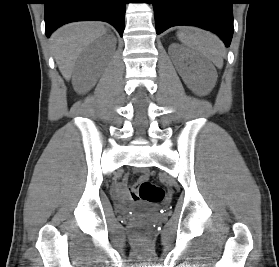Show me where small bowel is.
<instances>
[{
	"instance_id": "c3829d8e",
	"label": "small bowel",
	"mask_w": 279,
	"mask_h": 267,
	"mask_svg": "<svg viewBox=\"0 0 279 267\" xmlns=\"http://www.w3.org/2000/svg\"><path fill=\"white\" fill-rule=\"evenodd\" d=\"M114 195L122 200L132 198L133 201H140L138 192H134L133 189H126L124 184L117 183L114 185Z\"/></svg>"
}]
</instances>
